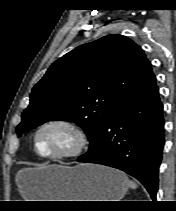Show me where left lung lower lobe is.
Wrapping results in <instances>:
<instances>
[{
  "instance_id": "0a47b994",
  "label": "left lung lower lobe",
  "mask_w": 176,
  "mask_h": 211,
  "mask_svg": "<svg viewBox=\"0 0 176 211\" xmlns=\"http://www.w3.org/2000/svg\"><path fill=\"white\" fill-rule=\"evenodd\" d=\"M164 142L163 105L153 84L112 113L94 145L77 161L125 171L138 179L154 200Z\"/></svg>"
}]
</instances>
